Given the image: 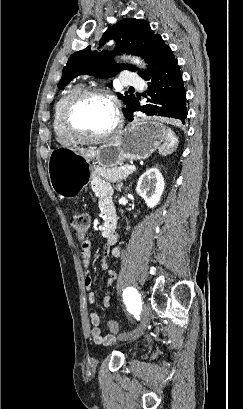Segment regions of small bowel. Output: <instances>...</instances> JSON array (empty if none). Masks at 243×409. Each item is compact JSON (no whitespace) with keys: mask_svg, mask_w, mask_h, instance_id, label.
<instances>
[{"mask_svg":"<svg viewBox=\"0 0 243 409\" xmlns=\"http://www.w3.org/2000/svg\"><path fill=\"white\" fill-rule=\"evenodd\" d=\"M95 192L100 197V208L103 212L107 210H112L115 212L114 204L112 201L111 193L112 189L109 186L102 184L100 181H95L93 183ZM81 255L83 258V267H84V285L89 291L88 301L91 304H95L97 301V294L91 289L92 286V277L90 274V243L89 240H84L81 245ZM122 255V249L117 245V235L114 233L111 238L106 239L104 253L101 260V269L108 274L107 286L104 290V296L101 301L100 306L107 308L110 306L111 294H112V284L117 279V274L114 270L110 268L109 258L113 256L119 258ZM90 322H91V331L90 335L93 341L101 345H109L114 341V335L103 336L100 329V318L95 310H92L90 313Z\"/></svg>","mask_w":243,"mask_h":409,"instance_id":"small-bowel-1","label":"small bowel"}]
</instances>
